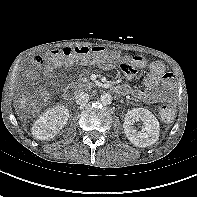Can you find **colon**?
I'll return each instance as SVG.
<instances>
[{"instance_id": "5ec220e1", "label": "colon", "mask_w": 197, "mask_h": 197, "mask_svg": "<svg viewBox=\"0 0 197 197\" xmlns=\"http://www.w3.org/2000/svg\"><path fill=\"white\" fill-rule=\"evenodd\" d=\"M47 59L53 63H71L74 60L80 62H94L103 63L111 62L116 63L120 60L118 53L109 51L104 47H88V46H77V47H64L62 49L51 50ZM38 63L42 62L39 57ZM142 63V58H134V64L139 65ZM121 66H125L123 62ZM134 67V66H133ZM135 69V68H134ZM161 117L164 121L170 122L175 117V110L172 106L165 105L161 108Z\"/></svg>"}]
</instances>
